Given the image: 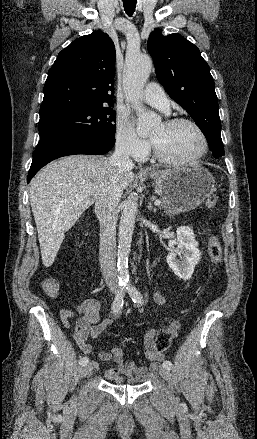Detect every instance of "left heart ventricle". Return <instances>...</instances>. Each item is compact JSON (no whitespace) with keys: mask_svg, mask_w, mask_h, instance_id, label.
I'll return each instance as SVG.
<instances>
[{"mask_svg":"<svg viewBox=\"0 0 257 439\" xmlns=\"http://www.w3.org/2000/svg\"><path fill=\"white\" fill-rule=\"evenodd\" d=\"M151 138L167 156L175 159H190L199 153L202 146L198 133L189 125L166 127L160 124Z\"/></svg>","mask_w":257,"mask_h":439,"instance_id":"left-heart-ventricle-1","label":"left heart ventricle"}]
</instances>
